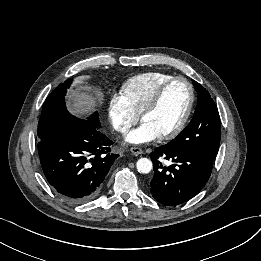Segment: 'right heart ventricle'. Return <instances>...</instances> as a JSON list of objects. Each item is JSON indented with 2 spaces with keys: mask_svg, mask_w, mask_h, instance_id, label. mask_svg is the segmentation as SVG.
I'll return each mask as SVG.
<instances>
[{
  "mask_svg": "<svg viewBox=\"0 0 261 261\" xmlns=\"http://www.w3.org/2000/svg\"><path fill=\"white\" fill-rule=\"evenodd\" d=\"M171 78L173 75L162 71L141 73L127 79L121 87V93L135 112L141 114L159 88Z\"/></svg>",
  "mask_w": 261,
  "mask_h": 261,
  "instance_id": "1",
  "label": "right heart ventricle"
}]
</instances>
